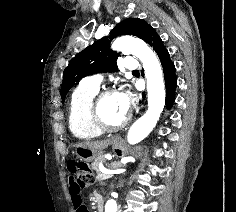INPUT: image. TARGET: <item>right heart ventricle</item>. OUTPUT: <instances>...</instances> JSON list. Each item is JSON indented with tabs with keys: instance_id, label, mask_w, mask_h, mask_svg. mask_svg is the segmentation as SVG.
<instances>
[{
	"instance_id": "e07e8e85",
	"label": "right heart ventricle",
	"mask_w": 236,
	"mask_h": 212,
	"mask_svg": "<svg viewBox=\"0 0 236 212\" xmlns=\"http://www.w3.org/2000/svg\"><path fill=\"white\" fill-rule=\"evenodd\" d=\"M97 92V87L81 82L71 95L68 108L69 128L78 139L88 140L103 134L94 122L91 111V103Z\"/></svg>"
}]
</instances>
